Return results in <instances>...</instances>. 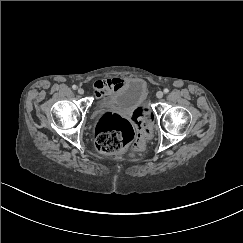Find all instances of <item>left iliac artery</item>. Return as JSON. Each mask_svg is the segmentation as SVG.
<instances>
[{
    "label": "left iliac artery",
    "mask_w": 243,
    "mask_h": 243,
    "mask_svg": "<svg viewBox=\"0 0 243 243\" xmlns=\"http://www.w3.org/2000/svg\"><path fill=\"white\" fill-rule=\"evenodd\" d=\"M169 90L167 88L164 89V93H168Z\"/></svg>",
    "instance_id": "44dca946"
}]
</instances>
